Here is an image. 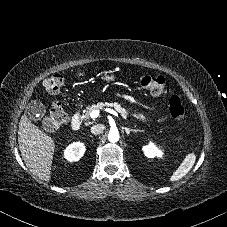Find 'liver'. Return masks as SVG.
<instances>
[{
  "mask_svg": "<svg viewBox=\"0 0 227 227\" xmlns=\"http://www.w3.org/2000/svg\"><path fill=\"white\" fill-rule=\"evenodd\" d=\"M84 75V73L77 74V76ZM18 144L26 166L40 180L49 182L55 151L54 140L23 115L19 122Z\"/></svg>",
  "mask_w": 227,
  "mask_h": 227,
  "instance_id": "liver-1",
  "label": "liver"
}]
</instances>
